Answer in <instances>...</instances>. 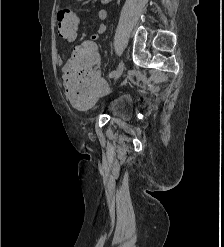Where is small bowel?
I'll return each mask as SVG.
<instances>
[{"label": "small bowel", "mask_w": 224, "mask_h": 247, "mask_svg": "<svg viewBox=\"0 0 224 247\" xmlns=\"http://www.w3.org/2000/svg\"><path fill=\"white\" fill-rule=\"evenodd\" d=\"M97 17L101 21V23L99 24V26L97 27L95 32L90 36V40L92 42L97 40L105 32V24L102 21H104L107 17L106 11L105 10H99L97 13ZM76 35L77 34L73 35L72 37L68 38L67 40L68 41H74L76 39ZM57 63L59 65L63 64V59L60 56L57 57Z\"/></svg>", "instance_id": "small-bowel-1"}]
</instances>
